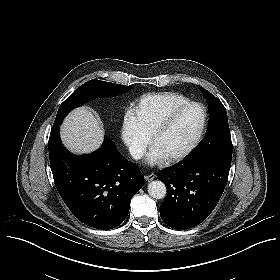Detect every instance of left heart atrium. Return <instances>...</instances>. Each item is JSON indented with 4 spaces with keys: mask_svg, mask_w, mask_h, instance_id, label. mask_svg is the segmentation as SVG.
I'll return each mask as SVG.
<instances>
[{
    "mask_svg": "<svg viewBox=\"0 0 280 280\" xmlns=\"http://www.w3.org/2000/svg\"><path fill=\"white\" fill-rule=\"evenodd\" d=\"M149 161L152 165L158 167H166L169 165V160L160 151L154 150L149 155Z\"/></svg>",
    "mask_w": 280,
    "mask_h": 280,
    "instance_id": "obj_1",
    "label": "left heart atrium"
}]
</instances>
